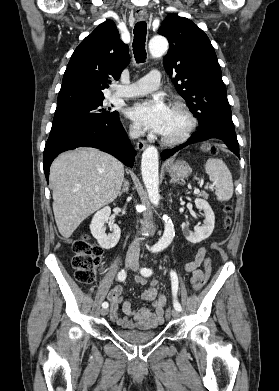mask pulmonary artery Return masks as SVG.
I'll return each mask as SVG.
<instances>
[{
	"label": "pulmonary artery",
	"instance_id": "obj_1",
	"mask_svg": "<svg viewBox=\"0 0 279 391\" xmlns=\"http://www.w3.org/2000/svg\"><path fill=\"white\" fill-rule=\"evenodd\" d=\"M161 83V75L158 71L147 73L139 81L130 84L129 86H117L114 95L116 97L130 98L141 96L158 89Z\"/></svg>",
	"mask_w": 279,
	"mask_h": 391
}]
</instances>
